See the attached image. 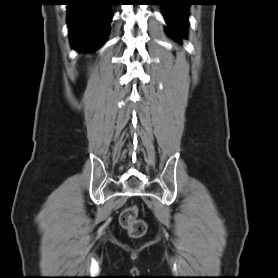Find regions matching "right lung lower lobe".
<instances>
[{
    "label": "right lung lower lobe",
    "mask_w": 278,
    "mask_h": 278,
    "mask_svg": "<svg viewBox=\"0 0 278 278\" xmlns=\"http://www.w3.org/2000/svg\"><path fill=\"white\" fill-rule=\"evenodd\" d=\"M67 23L72 47L96 50L108 36L112 0H68Z\"/></svg>",
    "instance_id": "98d812e1"
}]
</instances>
